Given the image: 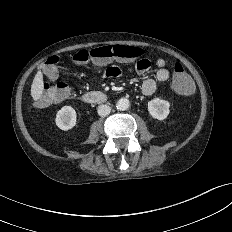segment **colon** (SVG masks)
I'll return each instance as SVG.
<instances>
[{"label": "colon", "instance_id": "1", "mask_svg": "<svg viewBox=\"0 0 232 232\" xmlns=\"http://www.w3.org/2000/svg\"><path fill=\"white\" fill-rule=\"evenodd\" d=\"M143 55V50L135 46L124 45H106L99 46L89 50H80L75 53L71 60L75 65H84L89 62L104 64L111 60H119L123 62H132ZM59 56H50L44 63L43 73L49 80H54L58 76ZM172 85L174 90L180 95H189L193 91V82L189 75L185 72L180 63L173 66ZM70 87L59 82L50 85L48 82L43 83V93L36 100L35 105L38 108H44L54 101L62 100L69 95Z\"/></svg>", "mask_w": 232, "mask_h": 232}]
</instances>
